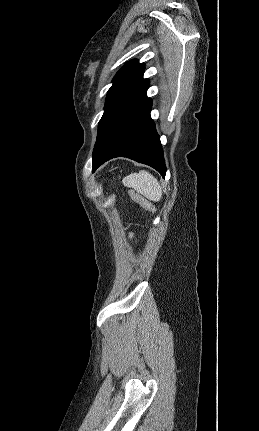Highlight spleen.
Masks as SVG:
<instances>
[{"instance_id": "1", "label": "spleen", "mask_w": 259, "mask_h": 431, "mask_svg": "<svg viewBox=\"0 0 259 431\" xmlns=\"http://www.w3.org/2000/svg\"><path fill=\"white\" fill-rule=\"evenodd\" d=\"M124 186L133 188L150 201H159L162 198V188L158 180L148 171L131 173L122 180Z\"/></svg>"}]
</instances>
